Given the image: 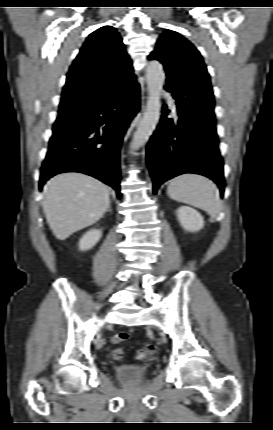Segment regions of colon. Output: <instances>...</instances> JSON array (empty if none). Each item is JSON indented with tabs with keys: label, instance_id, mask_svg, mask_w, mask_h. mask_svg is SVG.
<instances>
[{
	"label": "colon",
	"instance_id": "5ec220e1",
	"mask_svg": "<svg viewBox=\"0 0 273 430\" xmlns=\"http://www.w3.org/2000/svg\"><path fill=\"white\" fill-rule=\"evenodd\" d=\"M130 335L127 332H119L112 337V342L115 344L122 343L128 340ZM155 348L151 344H147L140 348L136 353V359L145 360L151 357L154 354ZM113 356L116 359H121L124 356V351L120 348H117L113 352Z\"/></svg>",
	"mask_w": 273,
	"mask_h": 430
}]
</instances>
